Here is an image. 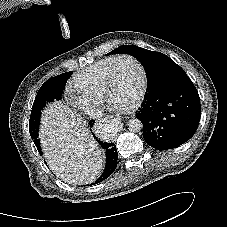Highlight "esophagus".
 <instances>
[{"mask_svg": "<svg viewBox=\"0 0 227 227\" xmlns=\"http://www.w3.org/2000/svg\"><path fill=\"white\" fill-rule=\"evenodd\" d=\"M108 118H112V117L111 116L110 117L108 116ZM113 121H115V123H120V118L119 117L114 118Z\"/></svg>", "mask_w": 227, "mask_h": 227, "instance_id": "1", "label": "esophagus"}]
</instances>
